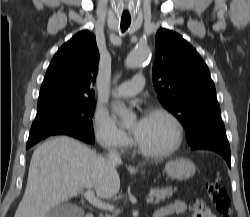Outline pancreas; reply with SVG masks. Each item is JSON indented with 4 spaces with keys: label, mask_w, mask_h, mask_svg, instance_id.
I'll list each match as a JSON object with an SVG mask.
<instances>
[{
    "label": "pancreas",
    "mask_w": 250,
    "mask_h": 217,
    "mask_svg": "<svg viewBox=\"0 0 250 217\" xmlns=\"http://www.w3.org/2000/svg\"><path fill=\"white\" fill-rule=\"evenodd\" d=\"M176 188L168 187V188H155L150 190V197H155V204H158L160 201L165 200L166 198H170L173 193L176 191ZM100 217H116V214L114 215H101Z\"/></svg>",
    "instance_id": "1"
}]
</instances>
